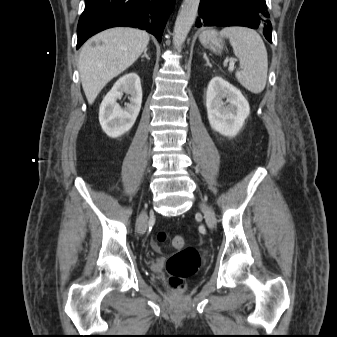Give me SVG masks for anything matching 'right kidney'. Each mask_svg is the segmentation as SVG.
<instances>
[{"mask_svg":"<svg viewBox=\"0 0 337 337\" xmlns=\"http://www.w3.org/2000/svg\"><path fill=\"white\" fill-rule=\"evenodd\" d=\"M123 93L130 95V103L121 108L117 103ZM142 103L139 76L132 72L120 77L104 97L99 109V122L103 131L112 138L128 132L134 125Z\"/></svg>","mask_w":337,"mask_h":337,"instance_id":"ca27d5eb","label":"right kidney"}]
</instances>
